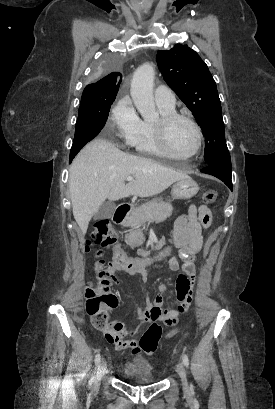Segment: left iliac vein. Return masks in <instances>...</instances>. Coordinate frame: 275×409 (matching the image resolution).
Wrapping results in <instances>:
<instances>
[{"label":"left iliac vein","mask_w":275,"mask_h":409,"mask_svg":"<svg viewBox=\"0 0 275 409\" xmlns=\"http://www.w3.org/2000/svg\"><path fill=\"white\" fill-rule=\"evenodd\" d=\"M177 373L179 374V376L181 378L184 391H188L189 390V384L187 382V376H186L185 368H184V365L182 363H179L177 365Z\"/></svg>","instance_id":"obj_1"}]
</instances>
